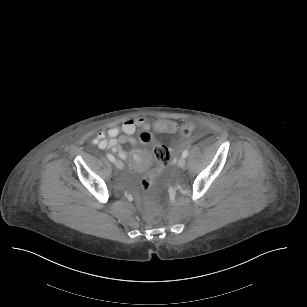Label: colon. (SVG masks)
I'll return each mask as SVG.
<instances>
[{"mask_svg": "<svg viewBox=\"0 0 307 307\" xmlns=\"http://www.w3.org/2000/svg\"><path fill=\"white\" fill-rule=\"evenodd\" d=\"M154 130L157 133H175L178 130V123L175 120H157L154 123ZM192 130L193 127L191 123H184L180 128V133L183 136H188L191 134ZM140 138L142 141L152 144L154 147V157L159 164L155 171H149L148 176H144L141 179L143 190L149 191L154 188L155 181L162 177L166 171L172 157V152L166 145L158 143V141L152 138L147 132L143 133ZM180 141H183V138H180Z\"/></svg>", "mask_w": 307, "mask_h": 307, "instance_id": "colon-1", "label": "colon"}]
</instances>
